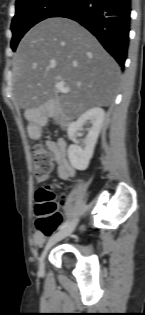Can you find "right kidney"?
<instances>
[{
  "label": "right kidney",
  "instance_id": "right-kidney-1",
  "mask_svg": "<svg viewBox=\"0 0 145 315\" xmlns=\"http://www.w3.org/2000/svg\"><path fill=\"white\" fill-rule=\"evenodd\" d=\"M105 118V112L100 107H93L83 113L76 122L71 123L67 128L70 140H74L75 134L82 129L83 125L89 120L92 127L85 139V148L82 149L77 144H72L68 148V157L71 165L77 170H86L94 153L99 133Z\"/></svg>",
  "mask_w": 145,
  "mask_h": 315
}]
</instances>
